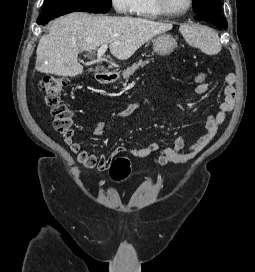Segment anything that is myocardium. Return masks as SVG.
I'll use <instances>...</instances> for the list:
<instances>
[{"label":"myocardium","instance_id":"myocardium-1","mask_svg":"<svg viewBox=\"0 0 255 272\" xmlns=\"http://www.w3.org/2000/svg\"><path fill=\"white\" fill-rule=\"evenodd\" d=\"M155 1V5L157 7V9L160 11V13L163 16L166 17H180L183 16L185 14H187L190 9L193 6V0H188V4L186 6L185 9L181 10V11H171L167 5H166V1L165 0H154Z\"/></svg>","mask_w":255,"mask_h":272}]
</instances>
